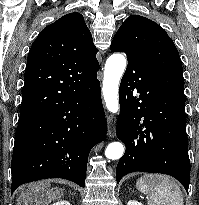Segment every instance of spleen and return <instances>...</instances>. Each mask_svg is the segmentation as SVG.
<instances>
[{
    "label": "spleen",
    "mask_w": 199,
    "mask_h": 205,
    "mask_svg": "<svg viewBox=\"0 0 199 205\" xmlns=\"http://www.w3.org/2000/svg\"><path fill=\"white\" fill-rule=\"evenodd\" d=\"M136 187L149 196V205H183L179 185L168 176L145 174L137 180Z\"/></svg>",
    "instance_id": "3e777b00"
}]
</instances>
